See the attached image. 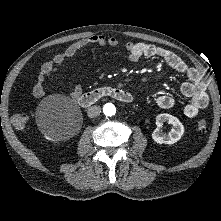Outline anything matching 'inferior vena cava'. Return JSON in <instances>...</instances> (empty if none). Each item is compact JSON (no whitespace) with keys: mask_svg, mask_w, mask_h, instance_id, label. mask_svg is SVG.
I'll return each instance as SVG.
<instances>
[{"mask_svg":"<svg viewBox=\"0 0 221 221\" xmlns=\"http://www.w3.org/2000/svg\"><path fill=\"white\" fill-rule=\"evenodd\" d=\"M101 113V107L94 105L88 108L87 115L90 118H95Z\"/></svg>","mask_w":221,"mask_h":221,"instance_id":"1","label":"inferior vena cava"}]
</instances>
